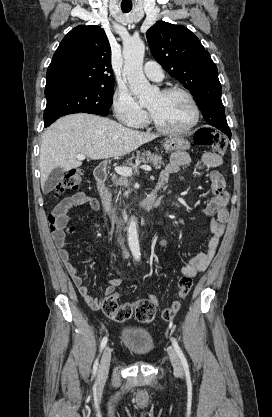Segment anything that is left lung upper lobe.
I'll use <instances>...</instances> for the list:
<instances>
[{
	"instance_id": "1",
	"label": "left lung upper lobe",
	"mask_w": 272,
	"mask_h": 417,
	"mask_svg": "<svg viewBox=\"0 0 272 417\" xmlns=\"http://www.w3.org/2000/svg\"><path fill=\"white\" fill-rule=\"evenodd\" d=\"M154 58L194 96L210 125L231 132L221 100L218 70L199 39L186 27L158 21L147 31Z\"/></svg>"
}]
</instances>
